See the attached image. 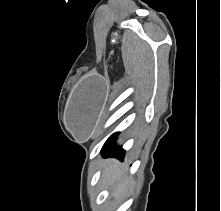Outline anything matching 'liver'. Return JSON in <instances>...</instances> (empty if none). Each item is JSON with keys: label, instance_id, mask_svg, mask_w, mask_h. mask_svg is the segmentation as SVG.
Listing matches in <instances>:
<instances>
[{"label": "liver", "instance_id": "1", "mask_svg": "<svg viewBox=\"0 0 221 211\" xmlns=\"http://www.w3.org/2000/svg\"><path fill=\"white\" fill-rule=\"evenodd\" d=\"M102 179L113 188V196L120 195L128 183V180L125 178V169L117 160H108L105 162Z\"/></svg>", "mask_w": 221, "mask_h": 211}]
</instances>
